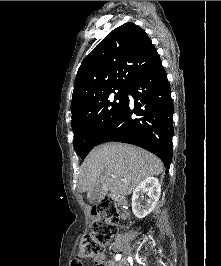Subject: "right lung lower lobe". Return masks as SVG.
Here are the masks:
<instances>
[{
    "label": "right lung lower lobe",
    "mask_w": 221,
    "mask_h": 266,
    "mask_svg": "<svg viewBox=\"0 0 221 266\" xmlns=\"http://www.w3.org/2000/svg\"><path fill=\"white\" fill-rule=\"evenodd\" d=\"M129 98L117 118L106 128L96 145L117 141L142 147L157 155L166 172L172 160L173 102L162 62L139 76L129 87Z\"/></svg>",
    "instance_id": "98d812e1"
}]
</instances>
